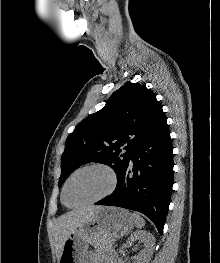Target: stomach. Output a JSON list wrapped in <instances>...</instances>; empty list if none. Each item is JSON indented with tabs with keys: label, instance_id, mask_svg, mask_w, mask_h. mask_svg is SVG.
<instances>
[{
	"label": "stomach",
	"instance_id": "obj_1",
	"mask_svg": "<svg viewBox=\"0 0 220 263\" xmlns=\"http://www.w3.org/2000/svg\"><path fill=\"white\" fill-rule=\"evenodd\" d=\"M134 225L128 210L102 207L67 237L58 263H83L89 243L109 249L114 238L128 234Z\"/></svg>",
	"mask_w": 220,
	"mask_h": 263
}]
</instances>
